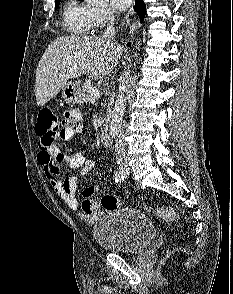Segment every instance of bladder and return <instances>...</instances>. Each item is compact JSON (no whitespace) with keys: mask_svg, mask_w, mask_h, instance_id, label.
Returning <instances> with one entry per match:
<instances>
[{"mask_svg":"<svg viewBox=\"0 0 233 294\" xmlns=\"http://www.w3.org/2000/svg\"><path fill=\"white\" fill-rule=\"evenodd\" d=\"M92 235L96 243L107 251L134 254L152 242L156 229L141 211L118 208L108 211L95 222Z\"/></svg>","mask_w":233,"mask_h":294,"instance_id":"bladder-1","label":"bladder"}]
</instances>
